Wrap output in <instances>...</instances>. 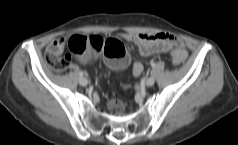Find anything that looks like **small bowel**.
<instances>
[{
  "label": "small bowel",
  "instance_id": "obj_1",
  "mask_svg": "<svg viewBox=\"0 0 238 145\" xmlns=\"http://www.w3.org/2000/svg\"><path fill=\"white\" fill-rule=\"evenodd\" d=\"M121 37L137 45L139 52L144 57H151L158 53H167L170 50H182L185 52L182 42L176 36L168 33L157 34H121ZM64 39L57 38L53 40L47 47L49 53L59 55L64 46ZM144 70L142 62H134L132 64V73L134 76H140Z\"/></svg>",
  "mask_w": 238,
  "mask_h": 145
}]
</instances>
